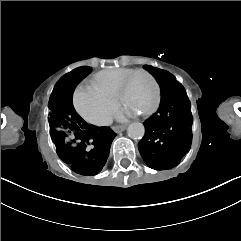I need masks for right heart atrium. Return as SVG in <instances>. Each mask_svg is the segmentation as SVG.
<instances>
[{"mask_svg":"<svg viewBox=\"0 0 241 241\" xmlns=\"http://www.w3.org/2000/svg\"><path fill=\"white\" fill-rule=\"evenodd\" d=\"M82 86L78 85L73 93V104L78 113L94 125L102 126L109 123L115 111L114 99H107L112 97L111 93L101 92L94 84Z\"/></svg>","mask_w":241,"mask_h":241,"instance_id":"obj_1","label":"right heart atrium"}]
</instances>
